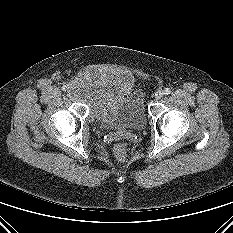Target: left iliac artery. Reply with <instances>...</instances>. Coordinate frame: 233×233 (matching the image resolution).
<instances>
[{"mask_svg":"<svg viewBox=\"0 0 233 233\" xmlns=\"http://www.w3.org/2000/svg\"><path fill=\"white\" fill-rule=\"evenodd\" d=\"M170 93H171V90H170L169 88H166V89L164 90V94L168 95V94H170Z\"/></svg>","mask_w":233,"mask_h":233,"instance_id":"obj_1","label":"left iliac artery"}]
</instances>
